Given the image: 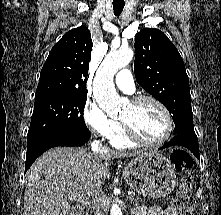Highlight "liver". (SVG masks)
Here are the masks:
<instances>
[{
  "label": "liver",
  "mask_w": 221,
  "mask_h": 215,
  "mask_svg": "<svg viewBox=\"0 0 221 215\" xmlns=\"http://www.w3.org/2000/svg\"><path fill=\"white\" fill-rule=\"evenodd\" d=\"M142 154L113 150L96 154L87 148L65 147L48 150L26 172L24 215H73L70 197L99 195L112 159Z\"/></svg>",
  "instance_id": "liver-1"
}]
</instances>
